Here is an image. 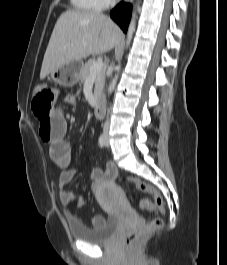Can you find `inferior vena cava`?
<instances>
[{"mask_svg":"<svg viewBox=\"0 0 227 265\" xmlns=\"http://www.w3.org/2000/svg\"><path fill=\"white\" fill-rule=\"evenodd\" d=\"M115 4H116V0H112L111 7H114ZM108 128H109V121L106 120V122L104 123V129L108 130Z\"/></svg>","mask_w":227,"mask_h":265,"instance_id":"inferior-vena-cava-1","label":"inferior vena cava"}]
</instances>
